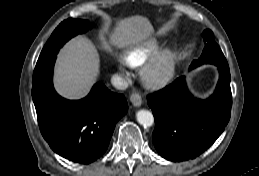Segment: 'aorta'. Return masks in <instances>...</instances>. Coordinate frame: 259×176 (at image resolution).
<instances>
[{
  "label": "aorta",
  "mask_w": 259,
  "mask_h": 176,
  "mask_svg": "<svg viewBox=\"0 0 259 176\" xmlns=\"http://www.w3.org/2000/svg\"><path fill=\"white\" fill-rule=\"evenodd\" d=\"M136 118L138 123L144 127H150L154 123L153 114L148 110H139L136 113Z\"/></svg>",
  "instance_id": "762f6f07"
}]
</instances>
